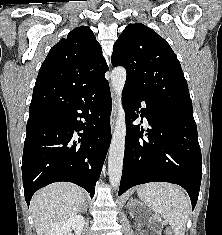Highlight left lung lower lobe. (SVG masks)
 <instances>
[{
  "mask_svg": "<svg viewBox=\"0 0 222 235\" xmlns=\"http://www.w3.org/2000/svg\"><path fill=\"white\" fill-rule=\"evenodd\" d=\"M123 105L126 115V139L123 172L118 195L129 188L148 182L162 181L182 186L189 194L194 209L202 178L201 150L193 115L157 104L139 91L125 85ZM146 117L150 128L145 135L140 125H130Z\"/></svg>",
  "mask_w": 222,
  "mask_h": 235,
  "instance_id": "left-lung-lower-lobe-1",
  "label": "left lung lower lobe"
}]
</instances>
